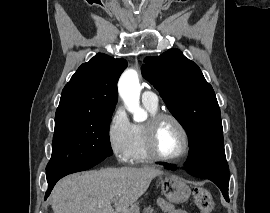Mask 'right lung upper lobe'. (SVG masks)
<instances>
[{"label":"right lung upper lobe","mask_w":270,"mask_h":213,"mask_svg":"<svg viewBox=\"0 0 270 213\" xmlns=\"http://www.w3.org/2000/svg\"><path fill=\"white\" fill-rule=\"evenodd\" d=\"M126 67V60L102 53L82 64L65 85L56 114L113 112L117 81Z\"/></svg>","instance_id":"obj_1"}]
</instances>
